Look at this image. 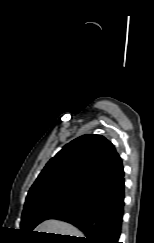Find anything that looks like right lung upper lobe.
Listing matches in <instances>:
<instances>
[{
    "label": "right lung upper lobe",
    "mask_w": 154,
    "mask_h": 243,
    "mask_svg": "<svg viewBox=\"0 0 154 243\" xmlns=\"http://www.w3.org/2000/svg\"><path fill=\"white\" fill-rule=\"evenodd\" d=\"M124 176L120 156L101 135H83L65 145L39 174L26 202L65 195L89 199Z\"/></svg>",
    "instance_id": "obj_1"
}]
</instances>
